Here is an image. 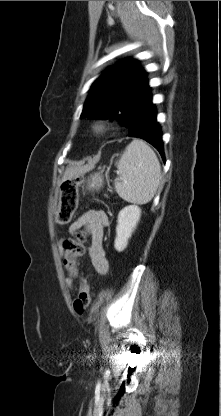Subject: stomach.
Wrapping results in <instances>:
<instances>
[{"label": "stomach", "instance_id": "1", "mask_svg": "<svg viewBox=\"0 0 221 416\" xmlns=\"http://www.w3.org/2000/svg\"><path fill=\"white\" fill-rule=\"evenodd\" d=\"M103 180L104 179H103L101 172H96L94 174H91L87 180V189L92 190V191L100 190L101 187L103 186V182H104Z\"/></svg>", "mask_w": 221, "mask_h": 416}]
</instances>
